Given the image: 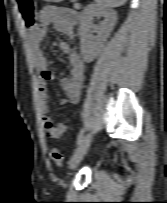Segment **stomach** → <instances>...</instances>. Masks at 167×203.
<instances>
[{"label":"stomach","instance_id":"1","mask_svg":"<svg viewBox=\"0 0 167 203\" xmlns=\"http://www.w3.org/2000/svg\"><path fill=\"white\" fill-rule=\"evenodd\" d=\"M44 1H46V2H62L63 0H44Z\"/></svg>","mask_w":167,"mask_h":203}]
</instances>
